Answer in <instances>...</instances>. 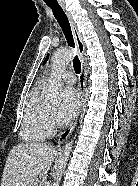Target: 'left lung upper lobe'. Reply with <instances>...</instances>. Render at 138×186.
I'll list each match as a JSON object with an SVG mask.
<instances>
[{
  "label": "left lung upper lobe",
  "mask_w": 138,
  "mask_h": 186,
  "mask_svg": "<svg viewBox=\"0 0 138 186\" xmlns=\"http://www.w3.org/2000/svg\"><path fill=\"white\" fill-rule=\"evenodd\" d=\"M48 56L45 58L44 63L47 61Z\"/></svg>",
  "instance_id": "5c2ea615"
}]
</instances>
